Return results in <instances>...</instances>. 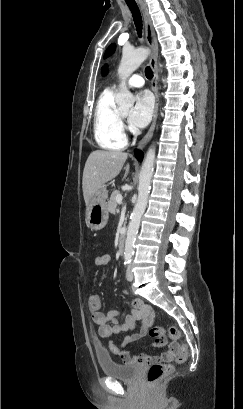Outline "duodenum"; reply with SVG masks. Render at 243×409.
I'll return each instance as SVG.
<instances>
[{
  "label": "duodenum",
  "mask_w": 243,
  "mask_h": 409,
  "mask_svg": "<svg viewBox=\"0 0 243 409\" xmlns=\"http://www.w3.org/2000/svg\"><path fill=\"white\" fill-rule=\"evenodd\" d=\"M125 244H126V232H123L121 237H120V241H119V245H118V251H119L120 254H124Z\"/></svg>",
  "instance_id": "duodenum-1"
}]
</instances>
